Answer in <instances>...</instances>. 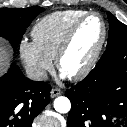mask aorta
Instances as JSON below:
<instances>
[{
	"label": "aorta",
	"mask_w": 127,
	"mask_h": 127,
	"mask_svg": "<svg viewBox=\"0 0 127 127\" xmlns=\"http://www.w3.org/2000/svg\"><path fill=\"white\" fill-rule=\"evenodd\" d=\"M54 109L62 114L68 113L71 109L70 100L64 96L57 97L54 100Z\"/></svg>",
	"instance_id": "aorta-1"
}]
</instances>
